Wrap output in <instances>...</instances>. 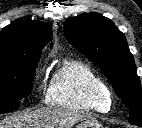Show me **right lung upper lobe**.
Segmentation results:
<instances>
[{
    "mask_svg": "<svg viewBox=\"0 0 142 128\" xmlns=\"http://www.w3.org/2000/svg\"><path fill=\"white\" fill-rule=\"evenodd\" d=\"M52 37L51 26L34 20L17 19L0 33V74L13 75L40 58Z\"/></svg>",
    "mask_w": 142,
    "mask_h": 128,
    "instance_id": "1",
    "label": "right lung upper lobe"
}]
</instances>
